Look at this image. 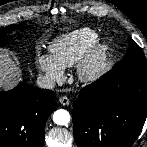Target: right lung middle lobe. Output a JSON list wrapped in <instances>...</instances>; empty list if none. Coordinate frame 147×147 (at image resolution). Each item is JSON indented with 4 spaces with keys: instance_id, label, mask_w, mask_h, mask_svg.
Masks as SVG:
<instances>
[{
    "instance_id": "obj_1",
    "label": "right lung middle lobe",
    "mask_w": 147,
    "mask_h": 147,
    "mask_svg": "<svg viewBox=\"0 0 147 147\" xmlns=\"http://www.w3.org/2000/svg\"><path fill=\"white\" fill-rule=\"evenodd\" d=\"M19 27H21V25ZM17 28L18 26L16 24L0 28V45L3 42V36L7 33L14 31Z\"/></svg>"
}]
</instances>
